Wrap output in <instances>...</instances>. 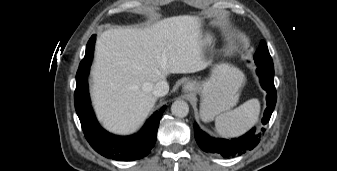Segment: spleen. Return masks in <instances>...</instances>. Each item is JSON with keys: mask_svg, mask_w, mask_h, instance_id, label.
<instances>
[{"mask_svg": "<svg viewBox=\"0 0 337 171\" xmlns=\"http://www.w3.org/2000/svg\"><path fill=\"white\" fill-rule=\"evenodd\" d=\"M260 103L250 99L235 108L216 117V131L222 137L239 136L249 130L258 120Z\"/></svg>", "mask_w": 337, "mask_h": 171, "instance_id": "3e777b00", "label": "spleen"}]
</instances>
